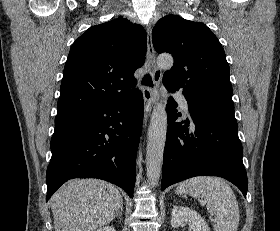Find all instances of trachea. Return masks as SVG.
Returning <instances> with one entry per match:
<instances>
[{"mask_svg": "<svg viewBox=\"0 0 280 231\" xmlns=\"http://www.w3.org/2000/svg\"><path fill=\"white\" fill-rule=\"evenodd\" d=\"M143 84L144 85H148V87H151L152 86V80L150 78L149 75H146L144 78H143Z\"/></svg>", "mask_w": 280, "mask_h": 231, "instance_id": "trachea-1", "label": "trachea"}]
</instances>
